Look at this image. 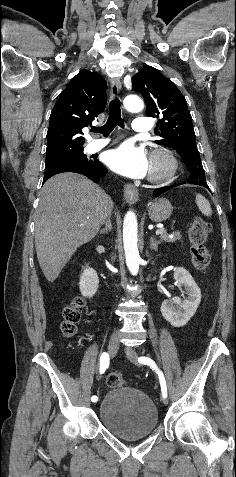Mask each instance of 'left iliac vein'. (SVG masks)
<instances>
[{
	"label": "left iliac vein",
	"instance_id": "1",
	"mask_svg": "<svg viewBox=\"0 0 236 477\" xmlns=\"http://www.w3.org/2000/svg\"><path fill=\"white\" fill-rule=\"evenodd\" d=\"M125 353H126L127 357L130 359L131 362H133V363L139 365L138 362H137V360H136L137 357H138V355H137V353L135 352V350H134L133 348H131V347H126V348H125ZM163 402H164V403H163V406H164V407H167V406H168V403H167L168 400H167L166 397H163Z\"/></svg>",
	"mask_w": 236,
	"mask_h": 477
}]
</instances>
